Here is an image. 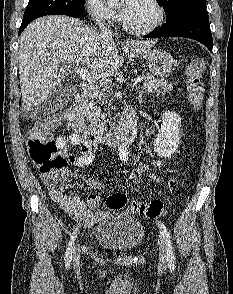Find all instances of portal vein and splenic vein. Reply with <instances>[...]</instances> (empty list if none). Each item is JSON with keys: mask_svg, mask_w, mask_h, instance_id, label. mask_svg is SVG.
Listing matches in <instances>:
<instances>
[{"mask_svg": "<svg viewBox=\"0 0 233 294\" xmlns=\"http://www.w3.org/2000/svg\"><path fill=\"white\" fill-rule=\"evenodd\" d=\"M76 73L85 81L89 82V83H92L94 82V80L92 79L90 73L84 69V68H78L76 69ZM145 80V76H138L136 79H135V83H134V86L139 83L140 81H143Z\"/></svg>", "mask_w": 233, "mask_h": 294, "instance_id": "1", "label": "portal vein and splenic vein"}]
</instances>
